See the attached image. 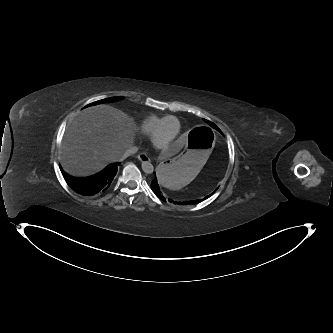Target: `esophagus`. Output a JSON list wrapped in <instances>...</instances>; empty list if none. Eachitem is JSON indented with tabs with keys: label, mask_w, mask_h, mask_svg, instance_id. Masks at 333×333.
Wrapping results in <instances>:
<instances>
[{
	"label": "esophagus",
	"mask_w": 333,
	"mask_h": 333,
	"mask_svg": "<svg viewBox=\"0 0 333 333\" xmlns=\"http://www.w3.org/2000/svg\"><path fill=\"white\" fill-rule=\"evenodd\" d=\"M138 160L142 161V162H149L150 158L148 157V155L144 152L138 154L137 156Z\"/></svg>",
	"instance_id": "obj_1"
}]
</instances>
